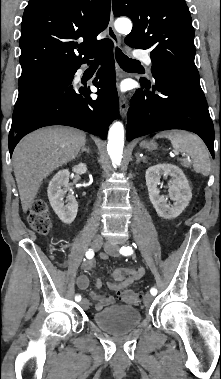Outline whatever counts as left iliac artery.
<instances>
[{
  "mask_svg": "<svg viewBox=\"0 0 221 379\" xmlns=\"http://www.w3.org/2000/svg\"><path fill=\"white\" fill-rule=\"evenodd\" d=\"M120 253L122 254V255H125V256H128V255H131L132 253H133V249H132V247H130V246H127V247H121V249H120ZM150 293L153 295V296H155L156 294H157V289L155 288V287H152L151 289H150Z\"/></svg>",
  "mask_w": 221,
  "mask_h": 379,
  "instance_id": "obj_1",
  "label": "left iliac artery"
}]
</instances>
